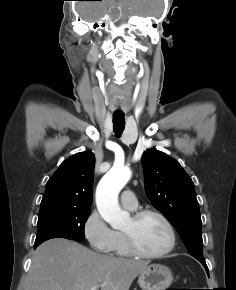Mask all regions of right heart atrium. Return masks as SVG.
<instances>
[{
	"mask_svg": "<svg viewBox=\"0 0 236 290\" xmlns=\"http://www.w3.org/2000/svg\"><path fill=\"white\" fill-rule=\"evenodd\" d=\"M83 234L95 252H111L115 241V231L107 225L96 209L86 217L83 223Z\"/></svg>",
	"mask_w": 236,
	"mask_h": 290,
	"instance_id": "right-heart-atrium-1",
	"label": "right heart atrium"
}]
</instances>
